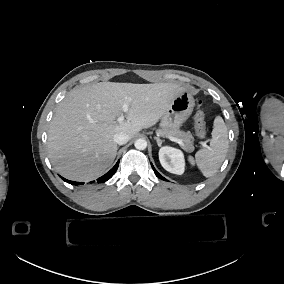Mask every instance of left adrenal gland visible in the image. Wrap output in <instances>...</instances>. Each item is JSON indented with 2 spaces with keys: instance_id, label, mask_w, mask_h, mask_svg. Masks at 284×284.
<instances>
[{
  "instance_id": "a2214340",
  "label": "left adrenal gland",
  "mask_w": 284,
  "mask_h": 284,
  "mask_svg": "<svg viewBox=\"0 0 284 284\" xmlns=\"http://www.w3.org/2000/svg\"><path fill=\"white\" fill-rule=\"evenodd\" d=\"M154 139L157 141L158 146H159V147H162V143H163V142L161 141V139L158 138V137H155Z\"/></svg>"
}]
</instances>
